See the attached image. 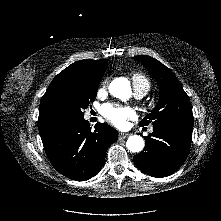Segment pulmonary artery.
Masks as SVG:
<instances>
[{
  "label": "pulmonary artery",
  "instance_id": "pulmonary-artery-1",
  "mask_svg": "<svg viewBox=\"0 0 221 221\" xmlns=\"http://www.w3.org/2000/svg\"><path fill=\"white\" fill-rule=\"evenodd\" d=\"M144 95H145L144 92L135 91V97H136V98H141V97H143Z\"/></svg>",
  "mask_w": 221,
  "mask_h": 221
}]
</instances>
